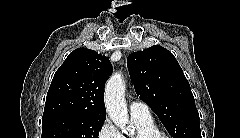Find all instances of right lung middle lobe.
<instances>
[{"mask_svg": "<svg viewBox=\"0 0 240 138\" xmlns=\"http://www.w3.org/2000/svg\"><path fill=\"white\" fill-rule=\"evenodd\" d=\"M104 121L70 113L43 116L41 138H98Z\"/></svg>", "mask_w": 240, "mask_h": 138, "instance_id": "right-lung-middle-lobe-1", "label": "right lung middle lobe"}]
</instances>
